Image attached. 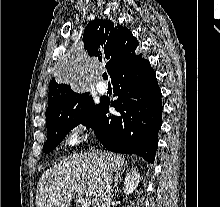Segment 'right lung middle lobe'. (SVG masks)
Wrapping results in <instances>:
<instances>
[{
	"instance_id": "1",
	"label": "right lung middle lobe",
	"mask_w": 220,
	"mask_h": 207,
	"mask_svg": "<svg viewBox=\"0 0 220 207\" xmlns=\"http://www.w3.org/2000/svg\"><path fill=\"white\" fill-rule=\"evenodd\" d=\"M98 105L94 104L89 92L76 93L46 115L47 140L43 152H51L74 127L80 123L86 124Z\"/></svg>"
}]
</instances>
